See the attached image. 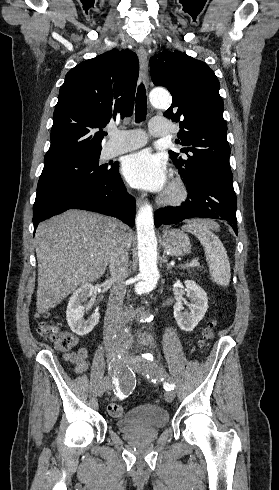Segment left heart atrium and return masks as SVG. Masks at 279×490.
Masks as SVG:
<instances>
[{"label":"left heart atrium","mask_w":279,"mask_h":490,"mask_svg":"<svg viewBox=\"0 0 279 490\" xmlns=\"http://www.w3.org/2000/svg\"><path fill=\"white\" fill-rule=\"evenodd\" d=\"M126 181L134 188L150 192H162L168 183V171L164 158L143 150L127 156L122 164Z\"/></svg>","instance_id":"39dd6f15"}]
</instances>
